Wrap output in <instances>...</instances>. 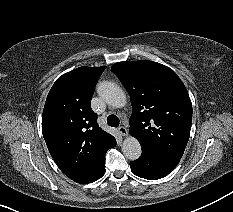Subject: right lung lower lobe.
Segmentation results:
<instances>
[{
  "label": "right lung lower lobe",
  "instance_id": "right-lung-lower-lobe-1",
  "mask_svg": "<svg viewBox=\"0 0 233 212\" xmlns=\"http://www.w3.org/2000/svg\"><path fill=\"white\" fill-rule=\"evenodd\" d=\"M116 145V140L115 138L111 141L110 143V146H109V149L112 148V147H115ZM105 173V163L102 165L98 175L96 176V178L94 179V181L98 180L99 178H101Z\"/></svg>",
  "mask_w": 233,
  "mask_h": 212
}]
</instances>
